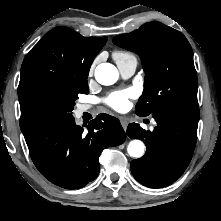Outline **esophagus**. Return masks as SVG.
Here are the masks:
<instances>
[{
	"instance_id": "obj_1",
	"label": "esophagus",
	"mask_w": 221,
	"mask_h": 221,
	"mask_svg": "<svg viewBox=\"0 0 221 221\" xmlns=\"http://www.w3.org/2000/svg\"><path fill=\"white\" fill-rule=\"evenodd\" d=\"M121 124H122L123 129L126 130L128 126V122L125 119H121Z\"/></svg>"
}]
</instances>
